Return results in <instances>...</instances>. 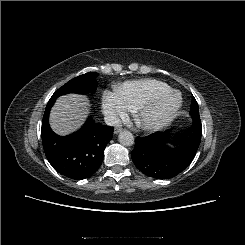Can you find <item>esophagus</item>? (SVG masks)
Wrapping results in <instances>:
<instances>
[{"instance_id":"obj_1","label":"esophagus","mask_w":245,"mask_h":245,"mask_svg":"<svg viewBox=\"0 0 245 245\" xmlns=\"http://www.w3.org/2000/svg\"><path fill=\"white\" fill-rule=\"evenodd\" d=\"M124 129L122 128V127H116L115 129H114V133L115 134H118V133H120L121 131H123Z\"/></svg>"}]
</instances>
